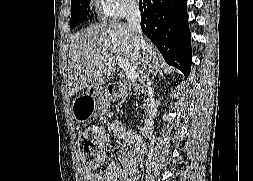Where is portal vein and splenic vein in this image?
Listing matches in <instances>:
<instances>
[{
  "instance_id": "18ae733b",
  "label": "portal vein and splenic vein",
  "mask_w": 253,
  "mask_h": 181,
  "mask_svg": "<svg viewBox=\"0 0 253 181\" xmlns=\"http://www.w3.org/2000/svg\"><path fill=\"white\" fill-rule=\"evenodd\" d=\"M117 61L119 66L124 70L126 77L132 81L135 82L137 79L136 71L132 67V65L124 58L117 57Z\"/></svg>"
}]
</instances>
